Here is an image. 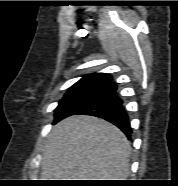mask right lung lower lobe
Here are the masks:
<instances>
[{
  "label": "right lung lower lobe",
  "mask_w": 178,
  "mask_h": 186,
  "mask_svg": "<svg viewBox=\"0 0 178 186\" xmlns=\"http://www.w3.org/2000/svg\"><path fill=\"white\" fill-rule=\"evenodd\" d=\"M116 90V85L112 86L107 92L71 115H91L103 118L119 127L129 137L132 133L129 118Z\"/></svg>",
  "instance_id": "1"
}]
</instances>
